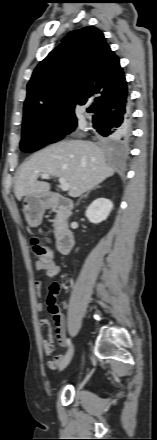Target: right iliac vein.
Returning a JSON list of instances; mask_svg holds the SVG:
<instances>
[{
    "instance_id": "obj_1",
    "label": "right iliac vein",
    "mask_w": 157,
    "mask_h": 440,
    "mask_svg": "<svg viewBox=\"0 0 157 440\" xmlns=\"http://www.w3.org/2000/svg\"><path fill=\"white\" fill-rule=\"evenodd\" d=\"M73 354H74V347L72 346L71 349L66 354L64 360L60 363L59 371H63L69 365L70 361L72 360Z\"/></svg>"
}]
</instances>
